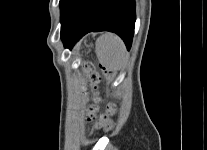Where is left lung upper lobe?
I'll return each instance as SVG.
<instances>
[{"instance_id": "1", "label": "left lung upper lobe", "mask_w": 207, "mask_h": 150, "mask_svg": "<svg viewBox=\"0 0 207 150\" xmlns=\"http://www.w3.org/2000/svg\"><path fill=\"white\" fill-rule=\"evenodd\" d=\"M66 0H60V8L62 7V5L64 4Z\"/></svg>"}]
</instances>
